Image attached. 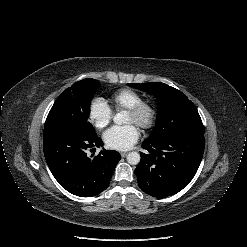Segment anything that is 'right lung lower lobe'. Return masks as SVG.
<instances>
[{"instance_id":"1","label":"right lung lower lobe","mask_w":247,"mask_h":247,"mask_svg":"<svg viewBox=\"0 0 247 247\" xmlns=\"http://www.w3.org/2000/svg\"><path fill=\"white\" fill-rule=\"evenodd\" d=\"M103 146L97 135H89L73 127L44 129L43 150L46 162L58 183L80 197H92L104 191L121 155L117 151H101L87 155L89 149Z\"/></svg>"}]
</instances>
